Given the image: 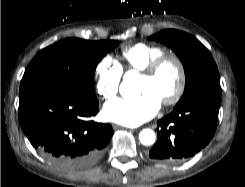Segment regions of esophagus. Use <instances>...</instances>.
<instances>
[{"label":"esophagus","mask_w":245,"mask_h":187,"mask_svg":"<svg viewBox=\"0 0 245 187\" xmlns=\"http://www.w3.org/2000/svg\"><path fill=\"white\" fill-rule=\"evenodd\" d=\"M113 129H114V130L125 129V127L114 124V125H113Z\"/></svg>","instance_id":"34e87169"}]
</instances>
